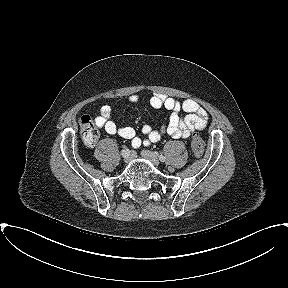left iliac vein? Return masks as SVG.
<instances>
[{"label": "left iliac vein", "instance_id": "left-iliac-vein-1", "mask_svg": "<svg viewBox=\"0 0 288 288\" xmlns=\"http://www.w3.org/2000/svg\"><path fill=\"white\" fill-rule=\"evenodd\" d=\"M141 156H142L143 158L149 160V161H150L153 165H155V166H159V164H160V161H159L157 155L154 154V153L151 152V151L143 150V151L141 152Z\"/></svg>", "mask_w": 288, "mask_h": 288}]
</instances>
